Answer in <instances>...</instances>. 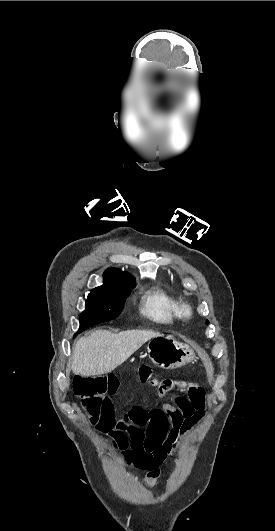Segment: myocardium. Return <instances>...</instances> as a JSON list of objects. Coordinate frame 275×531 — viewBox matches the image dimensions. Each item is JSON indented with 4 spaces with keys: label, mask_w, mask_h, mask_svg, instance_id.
I'll return each mask as SVG.
<instances>
[{
    "label": "myocardium",
    "mask_w": 275,
    "mask_h": 531,
    "mask_svg": "<svg viewBox=\"0 0 275 531\" xmlns=\"http://www.w3.org/2000/svg\"><path fill=\"white\" fill-rule=\"evenodd\" d=\"M176 311L178 316L183 319H190L194 313L192 304L187 300L178 302Z\"/></svg>",
    "instance_id": "obj_1"
}]
</instances>
